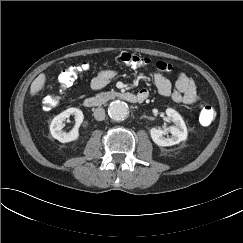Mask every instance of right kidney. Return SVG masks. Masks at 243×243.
Returning a JSON list of instances; mask_svg holds the SVG:
<instances>
[{
    "label": "right kidney",
    "mask_w": 243,
    "mask_h": 243,
    "mask_svg": "<svg viewBox=\"0 0 243 243\" xmlns=\"http://www.w3.org/2000/svg\"><path fill=\"white\" fill-rule=\"evenodd\" d=\"M70 115H74L76 124L75 127L70 132H63V121L66 118H69ZM84 116L80 109L78 108H68L67 110L63 111L59 115L55 116L50 124V132L51 135L60 141L61 143H67L71 141H75L79 137L78 128L83 122Z\"/></svg>",
    "instance_id": "ca27d5eb"
}]
</instances>
